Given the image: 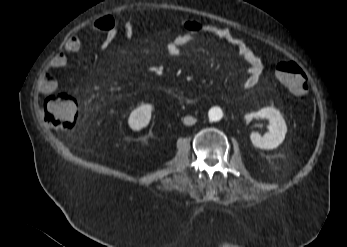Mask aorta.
<instances>
[{
    "mask_svg": "<svg viewBox=\"0 0 347 247\" xmlns=\"http://www.w3.org/2000/svg\"><path fill=\"white\" fill-rule=\"evenodd\" d=\"M210 121H220L223 117V112L219 107H214L208 113Z\"/></svg>",
    "mask_w": 347,
    "mask_h": 247,
    "instance_id": "obj_1",
    "label": "aorta"
}]
</instances>
